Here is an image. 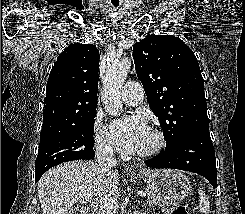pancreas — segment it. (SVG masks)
Returning <instances> with one entry per match:
<instances>
[{"mask_svg":"<svg viewBox=\"0 0 245 214\" xmlns=\"http://www.w3.org/2000/svg\"><path fill=\"white\" fill-rule=\"evenodd\" d=\"M147 193V200L151 205L156 206H166L170 205V201H167L166 199L162 198L161 196L157 195L150 189L146 190ZM98 214H118V207L111 208V207H99Z\"/></svg>","mask_w":245,"mask_h":214,"instance_id":"obj_1","label":"pancreas"}]
</instances>
